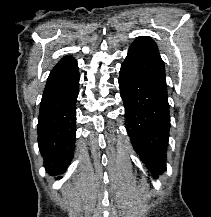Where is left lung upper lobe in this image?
Listing matches in <instances>:
<instances>
[{
  "mask_svg": "<svg viewBox=\"0 0 211 217\" xmlns=\"http://www.w3.org/2000/svg\"><path fill=\"white\" fill-rule=\"evenodd\" d=\"M123 64L167 92L164 63L156 43L150 37H138L129 47Z\"/></svg>",
  "mask_w": 211,
  "mask_h": 217,
  "instance_id": "1",
  "label": "left lung upper lobe"
}]
</instances>
